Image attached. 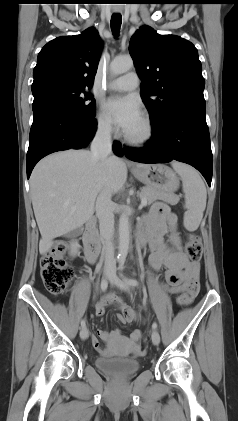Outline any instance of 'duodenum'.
I'll return each instance as SVG.
<instances>
[{
	"instance_id": "duodenum-1",
	"label": "duodenum",
	"mask_w": 238,
	"mask_h": 421,
	"mask_svg": "<svg viewBox=\"0 0 238 421\" xmlns=\"http://www.w3.org/2000/svg\"><path fill=\"white\" fill-rule=\"evenodd\" d=\"M146 238L143 235L139 237V245L143 247ZM83 243L85 248V255L90 262H95L101 250V245L98 239L95 222L89 221L85 227L83 234Z\"/></svg>"
}]
</instances>
